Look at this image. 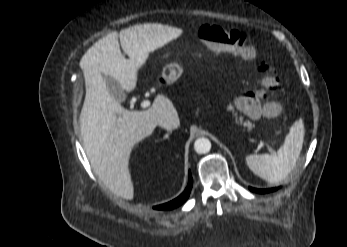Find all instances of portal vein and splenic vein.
I'll list each match as a JSON object with an SVG mask.
<instances>
[{
    "instance_id": "1",
    "label": "portal vein and splenic vein",
    "mask_w": 347,
    "mask_h": 247,
    "mask_svg": "<svg viewBox=\"0 0 347 247\" xmlns=\"http://www.w3.org/2000/svg\"><path fill=\"white\" fill-rule=\"evenodd\" d=\"M151 105V102L149 100H143L141 103L142 108H147ZM261 145H264V143H261Z\"/></svg>"
}]
</instances>
